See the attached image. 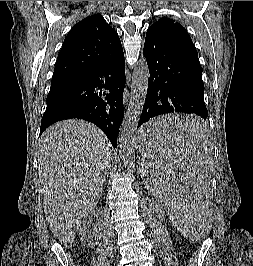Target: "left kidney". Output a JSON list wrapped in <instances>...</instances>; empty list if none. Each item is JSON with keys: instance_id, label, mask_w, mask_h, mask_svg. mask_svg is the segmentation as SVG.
I'll use <instances>...</instances> for the list:
<instances>
[{"instance_id": "obj_1", "label": "left kidney", "mask_w": 253, "mask_h": 266, "mask_svg": "<svg viewBox=\"0 0 253 266\" xmlns=\"http://www.w3.org/2000/svg\"><path fill=\"white\" fill-rule=\"evenodd\" d=\"M172 220H173V222H174L176 225H178V223H177V222H178V220H177V219H175V220H174V219H172Z\"/></svg>"}]
</instances>
